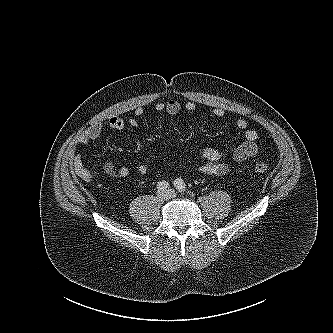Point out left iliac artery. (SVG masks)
Wrapping results in <instances>:
<instances>
[{"label":"left iliac artery","instance_id":"1","mask_svg":"<svg viewBox=\"0 0 333 333\" xmlns=\"http://www.w3.org/2000/svg\"><path fill=\"white\" fill-rule=\"evenodd\" d=\"M174 186L179 192L184 193L186 191V185H185L184 181L181 178H177L174 181Z\"/></svg>","mask_w":333,"mask_h":333}]
</instances>
